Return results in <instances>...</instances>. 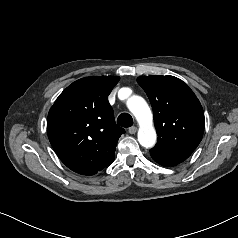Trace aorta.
I'll return each instance as SVG.
<instances>
[{"label":"aorta","mask_w":238,"mask_h":238,"mask_svg":"<svg viewBox=\"0 0 238 238\" xmlns=\"http://www.w3.org/2000/svg\"><path fill=\"white\" fill-rule=\"evenodd\" d=\"M127 107L139 123L138 141L141 146L151 148L155 145L157 135L153 126L151 110L147 102L140 96H132L127 100Z\"/></svg>","instance_id":"obj_1"}]
</instances>
